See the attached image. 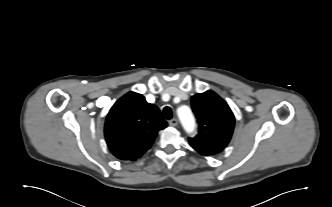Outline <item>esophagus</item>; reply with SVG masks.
Masks as SVG:
<instances>
[{"instance_id":"esophagus-1","label":"esophagus","mask_w":332,"mask_h":207,"mask_svg":"<svg viewBox=\"0 0 332 207\" xmlns=\"http://www.w3.org/2000/svg\"><path fill=\"white\" fill-rule=\"evenodd\" d=\"M169 125H170V126H173V127L177 126V125H178V120H177V118H172V119L169 121Z\"/></svg>"}]
</instances>
